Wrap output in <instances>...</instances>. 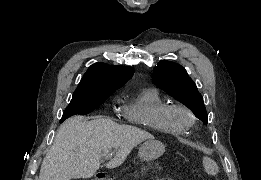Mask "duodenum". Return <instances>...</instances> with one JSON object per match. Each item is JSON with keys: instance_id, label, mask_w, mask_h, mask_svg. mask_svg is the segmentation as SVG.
<instances>
[{"instance_id": "410a0bca", "label": "duodenum", "mask_w": 261, "mask_h": 180, "mask_svg": "<svg viewBox=\"0 0 261 180\" xmlns=\"http://www.w3.org/2000/svg\"><path fill=\"white\" fill-rule=\"evenodd\" d=\"M96 180H107V177L103 176L102 173H97L96 174Z\"/></svg>"}]
</instances>
